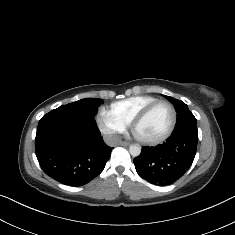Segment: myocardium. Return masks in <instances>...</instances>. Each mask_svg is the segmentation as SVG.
Masks as SVG:
<instances>
[{
  "label": "myocardium",
  "mask_w": 235,
  "mask_h": 235,
  "mask_svg": "<svg viewBox=\"0 0 235 235\" xmlns=\"http://www.w3.org/2000/svg\"><path fill=\"white\" fill-rule=\"evenodd\" d=\"M162 104L169 106L171 109V112H172L171 124H170V127H169L168 131L166 132V134H164L161 137L151 139V140H144V139L139 138L135 133L137 126L140 123H142L143 121H145L149 117V115L153 112V110ZM176 124H177V110H176L175 106L170 101L161 99V100H157V101L151 103L145 109H143V111L140 112L133 119L132 123L130 124V129H131V133H132L134 139L138 143H140L142 145H147V146H154V145H158V144L163 143L166 140H168L172 136V134L174 133V130L176 128Z\"/></svg>",
  "instance_id": "1"
}]
</instances>
